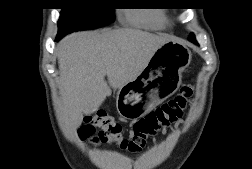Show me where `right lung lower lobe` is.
Here are the masks:
<instances>
[{"mask_svg": "<svg viewBox=\"0 0 252 169\" xmlns=\"http://www.w3.org/2000/svg\"><path fill=\"white\" fill-rule=\"evenodd\" d=\"M64 35L63 34H58L56 37V41H59Z\"/></svg>", "mask_w": 252, "mask_h": 169, "instance_id": "98d812e1", "label": "right lung lower lobe"}]
</instances>
